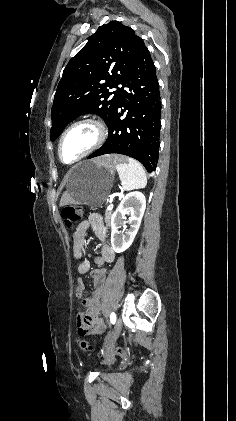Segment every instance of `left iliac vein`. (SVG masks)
Wrapping results in <instances>:
<instances>
[{
    "mask_svg": "<svg viewBox=\"0 0 236 421\" xmlns=\"http://www.w3.org/2000/svg\"><path fill=\"white\" fill-rule=\"evenodd\" d=\"M121 330H122V320L121 318H117L112 334L105 342L104 350H110L114 346L118 336L120 335Z\"/></svg>",
    "mask_w": 236,
    "mask_h": 421,
    "instance_id": "left-iliac-vein-1",
    "label": "left iliac vein"
}]
</instances>
